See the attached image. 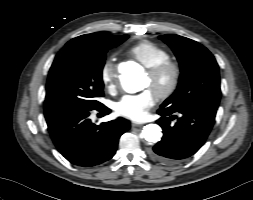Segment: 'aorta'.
<instances>
[{"instance_id": "1", "label": "aorta", "mask_w": 253, "mask_h": 200, "mask_svg": "<svg viewBox=\"0 0 253 200\" xmlns=\"http://www.w3.org/2000/svg\"><path fill=\"white\" fill-rule=\"evenodd\" d=\"M123 89L128 93H135L144 88L141 73L134 69H127L120 77ZM161 127L157 124L144 126L141 136L150 143H157L162 137Z\"/></svg>"}]
</instances>
